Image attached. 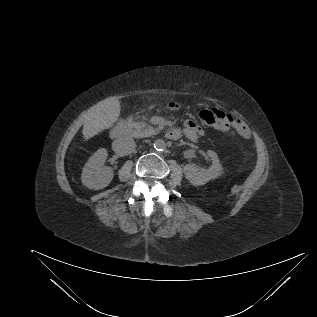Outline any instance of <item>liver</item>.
Returning <instances> with one entry per match:
<instances>
[{
  "label": "liver",
  "mask_w": 317,
  "mask_h": 317,
  "mask_svg": "<svg viewBox=\"0 0 317 317\" xmlns=\"http://www.w3.org/2000/svg\"><path fill=\"white\" fill-rule=\"evenodd\" d=\"M120 102L116 97H109L98 102L84 113L82 134L85 140L111 128L120 115Z\"/></svg>",
  "instance_id": "liver-1"
}]
</instances>
